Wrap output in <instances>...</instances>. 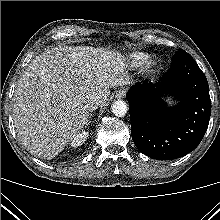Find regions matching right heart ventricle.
I'll use <instances>...</instances> for the list:
<instances>
[{"mask_svg": "<svg viewBox=\"0 0 220 220\" xmlns=\"http://www.w3.org/2000/svg\"><path fill=\"white\" fill-rule=\"evenodd\" d=\"M143 58L142 54H135L132 56L133 61L136 63L138 61H140Z\"/></svg>", "mask_w": 220, "mask_h": 220, "instance_id": "e07e8e85", "label": "right heart ventricle"}]
</instances>
